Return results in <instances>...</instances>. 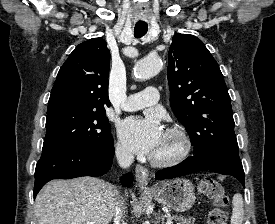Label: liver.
<instances>
[{
  "label": "liver",
  "instance_id": "1",
  "mask_svg": "<svg viewBox=\"0 0 275 224\" xmlns=\"http://www.w3.org/2000/svg\"><path fill=\"white\" fill-rule=\"evenodd\" d=\"M117 188L101 179L53 180L35 200L38 224H109Z\"/></svg>",
  "mask_w": 275,
  "mask_h": 224
}]
</instances>
